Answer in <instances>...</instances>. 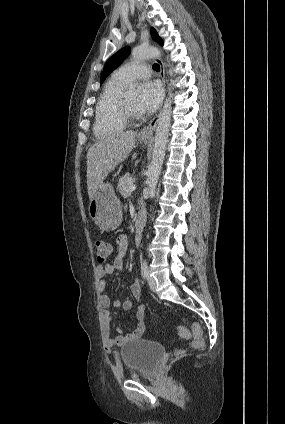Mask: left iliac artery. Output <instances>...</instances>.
<instances>
[{"label": "left iliac artery", "mask_w": 285, "mask_h": 424, "mask_svg": "<svg viewBox=\"0 0 285 424\" xmlns=\"http://www.w3.org/2000/svg\"><path fill=\"white\" fill-rule=\"evenodd\" d=\"M142 272H143L144 277L145 278H148V276H149V270H148V266H147L146 260L143 261Z\"/></svg>", "instance_id": "44dca946"}]
</instances>
